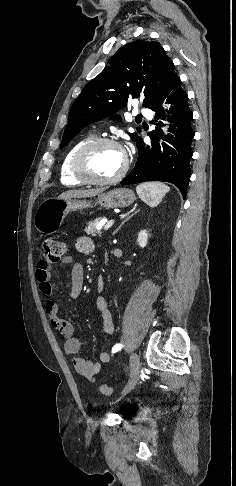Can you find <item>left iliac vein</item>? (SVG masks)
I'll return each instance as SVG.
<instances>
[{"instance_id": "left-iliac-vein-1", "label": "left iliac vein", "mask_w": 236, "mask_h": 486, "mask_svg": "<svg viewBox=\"0 0 236 486\" xmlns=\"http://www.w3.org/2000/svg\"><path fill=\"white\" fill-rule=\"evenodd\" d=\"M130 373H131V379L128 385L123 390L122 394L128 393L137 384L138 377L140 374V359L136 353H132L130 356Z\"/></svg>"}]
</instances>
